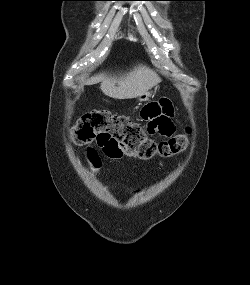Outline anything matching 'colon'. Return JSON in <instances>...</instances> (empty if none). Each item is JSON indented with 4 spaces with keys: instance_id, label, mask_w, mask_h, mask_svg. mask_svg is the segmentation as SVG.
Returning <instances> with one entry per match:
<instances>
[{
    "instance_id": "1",
    "label": "colon",
    "mask_w": 250,
    "mask_h": 285,
    "mask_svg": "<svg viewBox=\"0 0 250 285\" xmlns=\"http://www.w3.org/2000/svg\"><path fill=\"white\" fill-rule=\"evenodd\" d=\"M71 137L78 145L94 142L111 158L127 155L142 160L172 157L188 144L186 134L155 141L144 133L139 123L108 110H93L82 115L72 128Z\"/></svg>"
}]
</instances>
